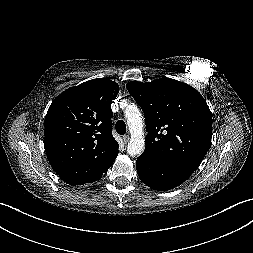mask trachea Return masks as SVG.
Returning a JSON list of instances; mask_svg holds the SVG:
<instances>
[{
  "mask_svg": "<svg viewBox=\"0 0 253 253\" xmlns=\"http://www.w3.org/2000/svg\"><path fill=\"white\" fill-rule=\"evenodd\" d=\"M116 131L120 135H124L126 133V125L123 120H118L115 125Z\"/></svg>",
  "mask_w": 253,
  "mask_h": 253,
  "instance_id": "trachea-1",
  "label": "trachea"
}]
</instances>
